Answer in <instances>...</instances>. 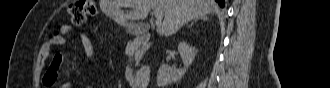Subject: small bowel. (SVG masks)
<instances>
[{
    "mask_svg": "<svg viewBox=\"0 0 330 88\" xmlns=\"http://www.w3.org/2000/svg\"><path fill=\"white\" fill-rule=\"evenodd\" d=\"M74 27L69 24H64L60 27L59 33L49 39L43 47L40 49L37 58V68L42 70L45 65V60L49 55L51 48L55 45H64L67 42L66 36L74 33ZM78 40L80 41L87 57L94 60L96 57V52L91 39L82 33L76 34ZM65 60V55H58L50 67L41 75L40 81L43 85L50 86L56 83L58 79V69L61 63ZM70 84H64L62 88H69Z\"/></svg>",
    "mask_w": 330,
    "mask_h": 88,
    "instance_id": "small-bowel-1",
    "label": "small bowel"
}]
</instances>
